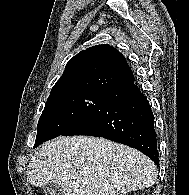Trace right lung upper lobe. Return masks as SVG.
I'll return each mask as SVG.
<instances>
[{
  "mask_svg": "<svg viewBox=\"0 0 189 195\" xmlns=\"http://www.w3.org/2000/svg\"><path fill=\"white\" fill-rule=\"evenodd\" d=\"M133 82L134 76L122 53L107 44L96 45L70 59L50 94L74 89L111 93Z\"/></svg>",
  "mask_w": 189,
  "mask_h": 195,
  "instance_id": "1",
  "label": "right lung upper lobe"
}]
</instances>
